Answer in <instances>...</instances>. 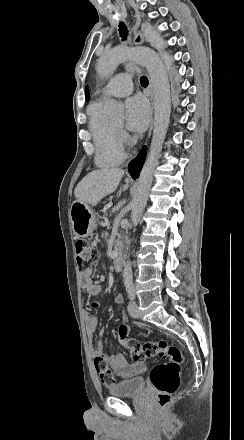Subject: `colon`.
Segmentation results:
<instances>
[{"mask_svg": "<svg viewBox=\"0 0 244 440\" xmlns=\"http://www.w3.org/2000/svg\"><path fill=\"white\" fill-rule=\"evenodd\" d=\"M75 251L76 264L82 270L88 265L96 263L99 258V250L95 247H90L89 243L84 239L76 241ZM128 328V324H121V342L123 347L130 352V356L134 362L140 364L149 357H158L168 360V363L153 366L151 374V380L156 389L157 408L159 410H166L171 396L179 386V377L173 365L183 362V353L177 346L171 345L165 340L141 345L136 340L127 338ZM94 365L103 383L109 385L115 383V376L109 368L106 359L97 356L94 359Z\"/></svg>", "mask_w": 244, "mask_h": 440, "instance_id": "1", "label": "colon"}]
</instances>
